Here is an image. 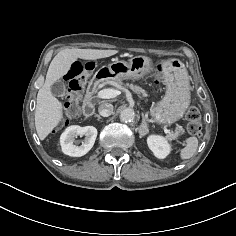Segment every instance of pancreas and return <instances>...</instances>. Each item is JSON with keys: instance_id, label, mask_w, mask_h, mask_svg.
<instances>
[{"instance_id": "cf45deb5", "label": "pancreas", "mask_w": 236, "mask_h": 236, "mask_svg": "<svg viewBox=\"0 0 236 236\" xmlns=\"http://www.w3.org/2000/svg\"><path fill=\"white\" fill-rule=\"evenodd\" d=\"M127 86L134 92L136 93H140L143 95H146L145 90H143L141 87L137 86V85H133V84H127ZM124 88V84L120 83L119 84V89H123ZM184 129L181 126H178L175 133L173 134L174 137L178 136L180 133H183Z\"/></svg>"}]
</instances>
